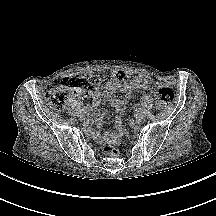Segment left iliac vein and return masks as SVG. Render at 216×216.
Returning a JSON list of instances; mask_svg holds the SVG:
<instances>
[{"instance_id": "obj_1", "label": "left iliac vein", "mask_w": 216, "mask_h": 216, "mask_svg": "<svg viewBox=\"0 0 216 216\" xmlns=\"http://www.w3.org/2000/svg\"><path fill=\"white\" fill-rule=\"evenodd\" d=\"M145 117V114L143 112H140V117H138V120H143Z\"/></svg>"}]
</instances>
